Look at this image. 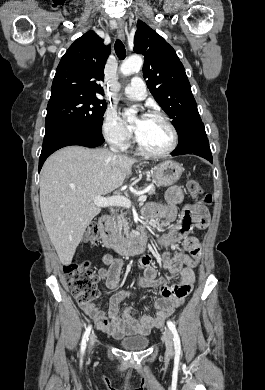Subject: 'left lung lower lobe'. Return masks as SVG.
<instances>
[{"label":"left lung lower lobe","instance_id":"left-lung-lower-lobe-1","mask_svg":"<svg viewBox=\"0 0 265 390\" xmlns=\"http://www.w3.org/2000/svg\"><path fill=\"white\" fill-rule=\"evenodd\" d=\"M172 156L195 154L213 162L209 141L205 132L204 124L200 126L192 137L183 145L177 146L171 153Z\"/></svg>","mask_w":265,"mask_h":390}]
</instances>
